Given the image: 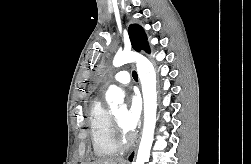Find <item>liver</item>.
<instances>
[{"label":"liver","instance_id":"liver-1","mask_svg":"<svg viewBox=\"0 0 251 164\" xmlns=\"http://www.w3.org/2000/svg\"><path fill=\"white\" fill-rule=\"evenodd\" d=\"M90 164H125V161L122 159H101L99 161L90 163Z\"/></svg>","mask_w":251,"mask_h":164}]
</instances>
